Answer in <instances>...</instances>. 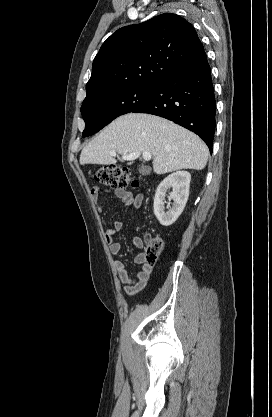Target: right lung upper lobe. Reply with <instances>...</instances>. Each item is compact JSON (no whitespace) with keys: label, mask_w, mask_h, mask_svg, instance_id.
I'll return each mask as SVG.
<instances>
[{"label":"right lung upper lobe","mask_w":272,"mask_h":417,"mask_svg":"<svg viewBox=\"0 0 272 417\" xmlns=\"http://www.w3.org/2000/svg\"><path fill=\"white\" fill-rule=\"evenodd\" d=\"M203 51L194 27L176 14L122 27L96 55L83 102L129 87L159 84Z\"/></svg>","instance_id":"obj_1"}]
</instances>
